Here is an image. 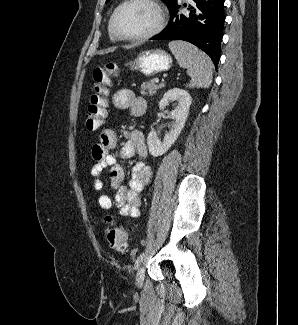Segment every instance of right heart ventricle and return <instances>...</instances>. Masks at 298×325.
Listing matches in <instances>:
<instances>
[{
	"instance_id": "right-heart-ventricle-1",
	"label": "right heart ventricle",
	"mask_w": 298,
	"mask_h": 325,
	"mask_svg": "<svg viewBox=\"0 0 298 325\" xmlns=\"http://www.w3.org/2000/svg\"><path fill=\"white\" fill-rule=\"evenodd\" d=\"M108 35H109V38H110L111 41L117 42L116 39L111 34V31H110V22H109V25H108Z\"/></svg>"
}]
</instances>
